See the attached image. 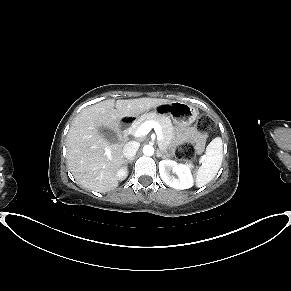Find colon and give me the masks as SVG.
Masks as SVG:
<instances>
[{"label": "colon", "mask_w": 291, "mask_h": 291, "mask_svg": "<svg viewBox=\"0 0 291 291\" xmlns=\"http://www.w3.org/2000/svg\"><path fill=\"white\" fill-rule=\"evenodd\" d=\"M213 128V121L208 116H201L197 122V129L199 131H208ZM176 156L186 162H191L196 156V151L191 143H183L179 145L175 151Z\"/></svg>", "instance_id": "colon-1"}]
</instances>
